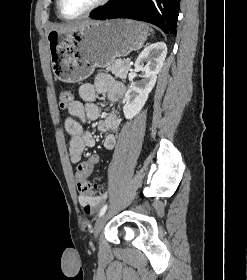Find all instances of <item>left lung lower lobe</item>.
<instances>
[{
    "label": "left lung lower lobe",
    "instance_id": "obj_1",
    "mask_svg": "<svg viewBox=\"0 0 247 280\" xmlns=\"http://www.w3.org/2000/svg\"><path fill=\"white\" fill-rule=\"evenodd\" d=\"M180 0H110L92 19L129 18L145 21L176 35Z\"/></svg>",
    "mask_w": 247,
    "mask_h": 280
}]
</instances>
